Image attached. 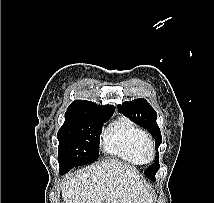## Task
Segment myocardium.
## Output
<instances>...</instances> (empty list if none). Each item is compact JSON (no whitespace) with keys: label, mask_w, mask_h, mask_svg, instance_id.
<instances>
[{"label":"myocardium","mask_w":214,"mask_h":203,"mask_svg":"<svg viewBox=\"0 0 214 203\" xmlns=\"http://www.w3.org/2000/svg\"><path fill=\"white\" fill-rule=\"evenodd\" d=\"M141 155L145 162H150L155 158V149L150 138L146 137L141 145Z\"/></svg>","instance_id":"myocardium-1"}]
</instances>
